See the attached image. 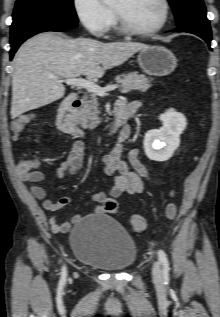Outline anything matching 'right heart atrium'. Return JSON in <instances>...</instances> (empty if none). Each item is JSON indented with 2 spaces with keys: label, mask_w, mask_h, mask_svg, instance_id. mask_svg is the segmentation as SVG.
<instances>
[{
  "label": "right heart atrium",
  "mask_w": 220,
  "mask_h": 317,
  "mask_svg": "<svg viewBox=\"0 0 220 317\" xmlns=\"http://www.w3.org/2000/svg\"><path fill=\"white\" fill-rule=\"evenodd\" d=\"M75 14L91 34L105 35L113 22V12L101 0H73Z\"/></svg>",
  "instance_id": "right-heart-atrium-1"
}]
</instances>
